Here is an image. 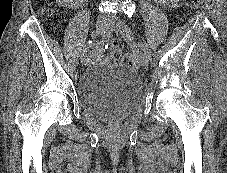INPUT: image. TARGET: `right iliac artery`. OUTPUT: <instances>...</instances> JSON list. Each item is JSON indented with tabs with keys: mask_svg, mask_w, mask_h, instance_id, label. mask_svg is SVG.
<instances>
[{
	"mask_svg": "<svg viewBox=\"0 0 227 173\" xmlns=\"http://www.w3.org/2000/svg\"><path fill=\"white\" fill-rule=\"evenodd\" d=\"M110 36V32L109 30L106 29V31L103 34V37H101V39H99V41H89L86 45L85 48L83 50V53L81 55V59L87 54V52L94 47H104L105 43L107 42V38Z\"/></svg>",
	"mask_w": 227,
	"mask_h": 173,
	"instance_id": "right-iliac-artery-1",
	"label": "right iliac artery"
}]
</instances>
